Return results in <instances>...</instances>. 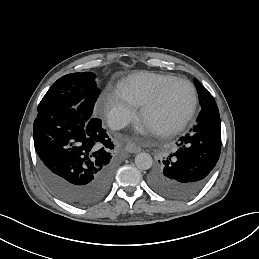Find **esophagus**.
Instances as JSON below:
<instances>
[{
	"instance_id": "obj_1",
	"label": "esophagus",
	"mask_w": 259,
	"mask_h": 259,
	"mask_svg": "<svg viewBox=\"0 0 259 259\" xmlns=\"http://www.w3.org/2000/svg\"><path fill=\"white\" fill-rule=\"evenodd\" d=\"M126 150L130 153H138L141 151V148L136 146L135 144L133 143H127L126 144Z\"/></svg>"
}]
</instances>
